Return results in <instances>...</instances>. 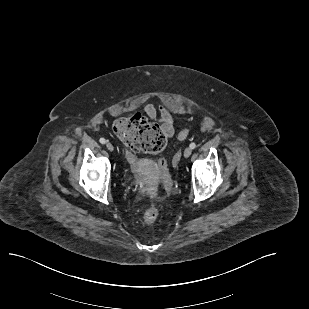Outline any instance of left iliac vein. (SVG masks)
<instances>
[{
  "label": "left iliac vein",
  "mask_w": 309,
  "mask_h": 309,
  "mask_svg": "<svg viewBox=\"0 0 309 309\" xmlns=\"http://www.w3.org/2000/svg\"><path fill=\"white\" fill-rule=\"evenodd\" d=\"M191 153H192V149L191 148H186L184 150V157L188 158L191 155Z\"/></svg>",
  "instance_id": "obj_1"
}]
</instances>
